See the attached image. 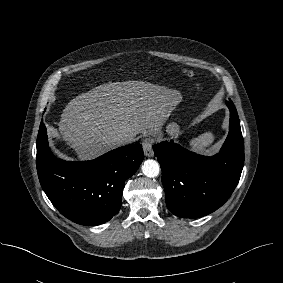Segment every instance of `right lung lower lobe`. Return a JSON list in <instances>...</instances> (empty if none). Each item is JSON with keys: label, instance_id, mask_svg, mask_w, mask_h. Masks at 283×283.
<instances>
[{"label": "right lung lower lobe", "instance_id": "98d812e1", "mask_svg": "<svg viewBox=\"0 0 283 283\" xmlns=\"http://www.w3.org/2000/svg\"><path fill=\"white\" fill-rule=\"evenodd\" d=\"M142 160L141 144L123 146L90 161L57 159L48 146L46 127L40 124L36 156L40 184L57 210L77 224L109 221L121 207L125 181Z\"/></svg>", "mask_w": 283, "mask_h": 283}]
</instances>
